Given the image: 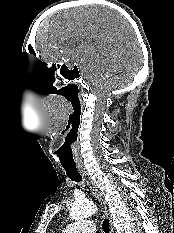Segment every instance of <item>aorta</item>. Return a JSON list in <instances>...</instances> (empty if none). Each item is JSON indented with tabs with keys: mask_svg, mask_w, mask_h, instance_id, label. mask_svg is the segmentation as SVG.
Here are the masks:
<instances>
[{
	"mask_svg": "<svg viewBox=\"0 0 174 233\" xmlns=\"http://www.w3.org/2000/svg\"><path fill=\"white\" fill-rule=\"evenodd\" d=\"M97 211L91 202H75L70 209L69 216L72 220H79L93 215Z\"/></svg>",
	"mask_w": 174,
	"mask_h": 233,
	"instance_id": "1",
	"label": "aorta"
}]
</instances>
